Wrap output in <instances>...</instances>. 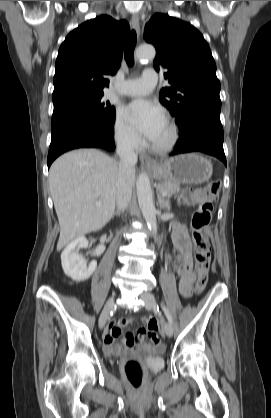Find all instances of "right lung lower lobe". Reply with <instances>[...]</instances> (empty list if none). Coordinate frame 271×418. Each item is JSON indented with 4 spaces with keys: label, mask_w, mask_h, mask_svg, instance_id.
Returning <instances> with one entry per match:
<instances>
[{
    "label": "right lung lower lobe",
    "mask_w": 271,
    "mask_h": 418,
    "mask_svg": "<svg viewBox=\"0 0 271 418\" xmlns=\"http://www.w3.org/2000/svg\"><path fill=\"white\" fill-rule=\"evenodd\" d=\"M113 124L114 122L94 118L68 122L52 128L48 168L59 155L72 149L98 148L113 151Z\"/></svg>",
    "instance_id": "1"
}]
</instances>
